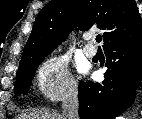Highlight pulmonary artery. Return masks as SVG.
I'll list each match as a JSON object with an SVG mask.
<instances>
[{"label": "pulmonary artery", "mask_w": 142, "mask_h": 119, "mask_svg": "<svg viewBox=\"0 0 142 119\" xmlns=\"http://www.w3.org/2000/svg\"><path fill=\"white\" fill-rule=\"evenodd\" d=\"M85 38H86V40H90L91 36L88 35ZM83 52L87 57H93L96 55L97 50L93 45L87 44L83 47Z\"/></svg>", "instance_id": "obj_1"}]
</instances>
